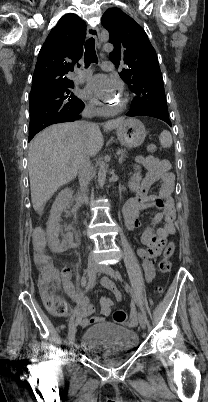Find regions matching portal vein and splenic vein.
<instances>
[{
	"label": "portal vein and splenic vein",
	"instance_id": "18ae733b",
	"mask_svg": "<svg viewBox=\"0 0 208 402\" xmlns=\"http://www.w3.org/2000/svg\"><path fill=\"white\" fill-rule=\"evenodd\" d=\"M116 157H117V158H120V157H121V154H120V153H117V154H116Z\"/></svg>",
	"mask_w": 208,
	"mask_h": 402
}]
</instances>
